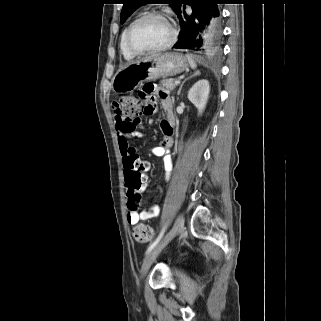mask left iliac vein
I'll list each match as a JSON object with an SVG mask.
<instances>
[{
	"label": "left iliac vein",
	"instance_id": "1",
	"mask_svg": "<svg viewBox=\"0 0 321 321\" xmlns=\"http://www.w3.org/2000/svg\"><path fill=\"white\" fill-rule=\"evenodd\" d=\"M184 226V216L179 214L175 220L173 228L163 237V239L146 255L142 268L141 277H144L148 272L150 266L161 252V250L179 233Z\"/></svg>",
	"mask_w": 321,
	"mask_h": 321
}]
</instances>
